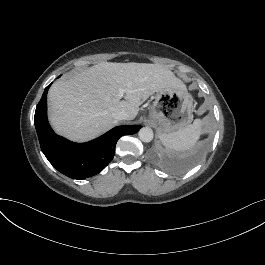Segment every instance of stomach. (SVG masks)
Wrapping results in <instances>:
<instances>
[{
	"label": "stomach",
	"mask_w": 265,
	"mask_h": 265,
	"mask_svg": "<svg viewBox=\"0 0 265 265\" xmlns=\"http://www.w3.org/2000/svg\"><path fill=\"white\" fill-rule=\"evenodd\" d=\"M192 107V96L186 90H160L155 95L150 119L160 133H172L190 123Z\"/></svg>",
	"instance_id": "stomach-1"
}]
</instances>
